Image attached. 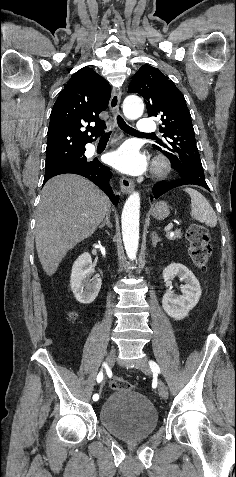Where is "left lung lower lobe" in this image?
I'll return each instance as SVG.
<instances>
[{"mask_svg":"<svg viewBox=\"0 0 236 477\" xmlns=\"http://www.w3.org/2000/svg\"><path fill=\"white\" fill-rule=\"evenodd\" d=\"M189 184L202 186V187L206 188L207 190H209V187H208L206 182L193 181V180L181 177L180 179L173 180V181H170V182L161 181V182L155 184L153 189H152L153 195H152L151 199H153V198L157 199L158 197H160L161 195H163L164 193H166L167 191H169V190H171L175 187H178V186H181V185H189Z\"/></svg>","mask_w":236,"mask_h":477,"instance_id":"0a47b994","label":"left lung lower lobe"}]
</instances>
